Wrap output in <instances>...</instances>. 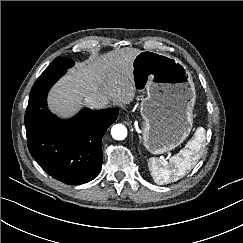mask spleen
Here are the masks:
<instances>
[{"instance_id":"spleen-1","label":"spleen","mask_w":243,"mask_h":243,"mask_svg":"<svg viewBox=\"0 0 243 243\" xmlns=\"http://www.w3.org/2000/svg\"><path fill=\"white\" fill-rule=\"evenodd\" d=\"M204 141L205 129L199 127L194 138L189 140L185 148L179 153L172 156L169 162L155 157L150 158L148 166L154 182L163 185L182 178L199 161Z\"/></svg>"}]
</instances>
